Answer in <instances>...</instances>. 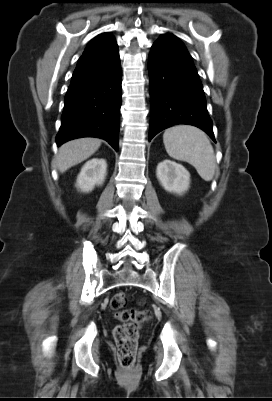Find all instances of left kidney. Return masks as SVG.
Segmentation results:
<instances>
[{"instance_id": "1", "label": "left kidney", "mask_w": 272, "mask_h": 401, "mask_svg": "<svg viewBox=\"0 0 272 401\" xmlns=\"http://www.w3.org/2000/svg\"><path fill=\"white\" fill-rule=\"evenodd\" d=\"M156 175L162 187L168 192L181 195L189 188V172L174 161L166 159L160 162L157 165Z\"/></svg>"}]
</instances>
